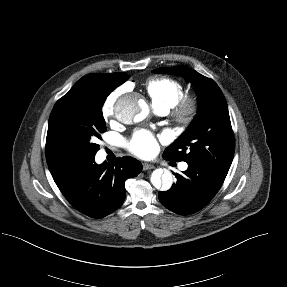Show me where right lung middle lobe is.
<instances>
[{
    "instance_id": "right-lung-middle-lobe-1",
    "label": "right lung middle lobe",
    "mask_w": 287,
    "mask_h": 287,
    "mask_svg": "<svg viewBox=\"0 0 287 287\" xmlns=\"http://www.w3.org/2000/svg\"><path fill=\"white\" fill-rule=\"evenodd\" d=\"M111 92L92 83L71 88L59 99L49 118L46 156L73 168L94 157L99 150L94 142L106 131L102 106Z\"/></svg>"
}]
</instances>
